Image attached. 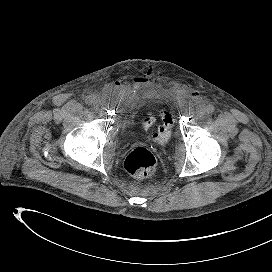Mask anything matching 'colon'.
I'll return each mask as SVG.
<instances>
[{
  "label": "colon",
  "instance_id": "colon-1",
  "mask_svg": "<svg viewBox=\"0 0 272 272\" xmlns=\"http://www.w3.org/2000/svg\"><path fill=\"white\" fill-rule=\"evenodd\" d=\"M152 119L147 118L144 121L145 128L152 125ZM172 124V116L169 113L164 115L163 124L153 136L155 140L164 142L170 135V128ZM156 158L151 151L144 147H137L133 149L126 157L124 166L125 169L133 176L144 178L148 177L155 171Z\"/></svg>",
  "mask_w": 272,
  "mask_h": 272
}]
</instances>
